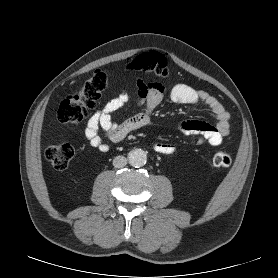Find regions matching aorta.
Masks as SVG:
<instances>
[{
	"mask_svg": "<svg viewBox=\"0 0 278 278\" xmlns=\"http://www.w3.org/2000/svg\"><path fill=\"white\" fill-rule=\"evenodd\" d=\"M128 161L132 167L140 168L147 162V155L142 149H133L128 153Z\"/></svg>",
	"mask_w": 278,
	"mask_h": 278,
	"instance_id": "aorta-1",
	"label": "aorta"
}]
</instances>
